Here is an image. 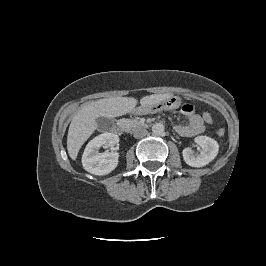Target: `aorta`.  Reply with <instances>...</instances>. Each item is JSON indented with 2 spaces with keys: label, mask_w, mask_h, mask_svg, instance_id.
<instances>
[{
  "label": "aorta",
  "mask_w": 266,
  "mask_h": 266,
  "mask_svg": "<svg viewBox=\"0 0 266 266\" xmlns=\"http://www.w3.org/2000/svg\"><path fill=\"white\" fill-rule=\"evenodd\" d=\"M152 133L154 135H162L164 133V125L162 123H155L152 126Z\"/></svg>",
  "instance_id": "1"
}]
</instances>
